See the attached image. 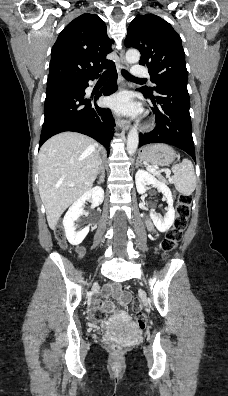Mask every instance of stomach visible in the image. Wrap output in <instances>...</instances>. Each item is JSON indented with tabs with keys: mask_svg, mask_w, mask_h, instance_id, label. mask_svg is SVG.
<instances>
[{
	"mask_svg": "<svg viewBox=\"0 0 228 396\" xmlns=\"http://www.w3.org/2000/svg\"><path fill=\"white\" fill-rule=\"evenodd\" d=\"M177 157L176 152L167 144L157 143L141 148L139 158L153 165L168 166Z\"/></svg>",
	"mask_w": 228,
	"mask_h": 396,
	"instance_id": "1",
	"label": "stomach"
}]
</instances>
